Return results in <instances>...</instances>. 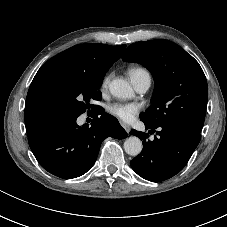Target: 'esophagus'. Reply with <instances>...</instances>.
Returning a JSON list of instances; mask_svg holds the SVG:
<instances>
[{
	"mask_svg": "<svg viewBox=\"0 0 227 227\" xmlns=\"http://www.w3.org/2000/svg\"><path fill=\"white\" fill-rule=\"evenodd\" d=\"M121 125L126 130V132L129 134L131 131V127L125 123H121Z\"/></svg>",
	"mask_w": 227,
	"mask_h": 227,
	"instance_id": "esophagus-1",
	"label": "esophagus"
}]
</instances>
